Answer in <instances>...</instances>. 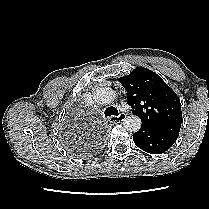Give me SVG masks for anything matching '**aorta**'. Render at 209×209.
Listing matches in <instances>:
<instances>
[{
  "label": "aorta",
  "mask_w": 209,
  "mask_h": 209,
  "mask_svg": "<svg viewBox=\"0 0 209 209\" xmlns=\"http://www.w3.org/2000/svg\"><path fill=\"white\" fill-rule=\"evenodd\" d=\"M116 98V92L108 87L98 88L93 93V99L97 104H109ZM124 127L130 132H137L141 128V119L131 115L125 118Z\"/></svg>",
  "instance_id": "762f6f07"
}]
</instances>
